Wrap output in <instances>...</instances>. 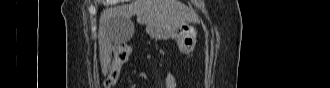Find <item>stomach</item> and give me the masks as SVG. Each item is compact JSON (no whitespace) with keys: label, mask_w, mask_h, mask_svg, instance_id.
Segmentation results:
<instances>
[{"label":"stomach","mask_w":330,"mask_h":88,"mask_svg":"<svg viewBox=\"0 0 330 88\" xmlns=\"http://www.w3.org/2000/svg\"><path fill=\"white\" fill-rule=\"evenodd\" d=\"M166 28V35L168 38H173L177 41L179 50L182 53L188 54L195 48L197 41V29L191 24H179V25H166L162 26ZM154 35L158 33L153 31Z\"/></svg>","instance_id":"1"}]
</instances>
